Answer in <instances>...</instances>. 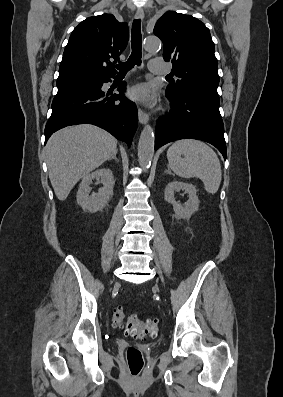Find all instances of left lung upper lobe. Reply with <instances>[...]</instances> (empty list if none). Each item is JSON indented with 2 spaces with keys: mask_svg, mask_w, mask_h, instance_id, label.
<instances>
[{
  "mask_svg": "<svg viewBox=\"0 0 283 397\" xmlns=\"http://www.w3.org/2000/svg\"><path fill=\"white\" fill-rule=\"evenodd\" d=\"M154 34L163 42L164 60L173 64V72L181 78L169 84L166 91L219 100L218 62L205 24L191 15L168 11L156 23Z\"/></svg>",
  "mask_w": 283,
  "mask_h": 397,
  "instance_id": "left-lung-upper-lobe-1",
  "label": "left lung upper lobe"
}]
</instances>
